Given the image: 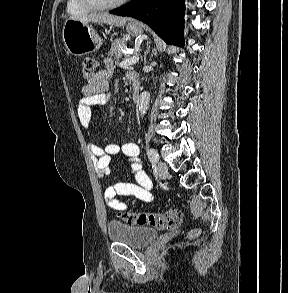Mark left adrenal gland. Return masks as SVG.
<instances>
[{
	"label": "left adrenal gland",
	"instance_id": "left-adrenal-gland-1",
	"mask_svg": "<svg viewBox=\"0 0 288 293\" xmlns=\"http://www.w3.org/2000/svg\"><path fill=\"white\" fill-rule=\"evenodd\" d=\"M148 53H149V47H148V49H147V51H146L145 55H146V54H148Z\"/></svg>",
	"mask_w": 288,
	"mask_h": 293
}]
</instances>
